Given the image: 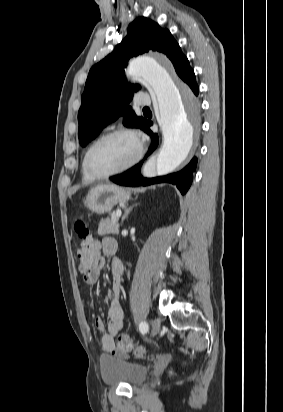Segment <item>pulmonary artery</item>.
<instances>
[{"label": "pulmonary artery", "mask_w": 283, "mask_h": 412, "mask_svg": "<svg viewBox=\"0 0 283 412\" xmlns=\"http://www.w3.org/2000/svg\"><path fill=\"white\" fill-rule=\"evenodd\" d=\"M137 104L140 106H149L151 104L150 98L144 93L137 94Z\"/></svg>", "instance_id": "obj_1"}]
</instances>
